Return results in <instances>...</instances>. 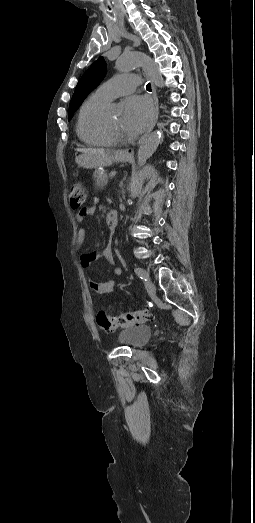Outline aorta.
Segmentation results:
<instances>
[{"label":"aorta","mask_w":255,"mask_h":523,"mask_svg":"<svg viewBox=\"0 0 255 523\" xmlns=\"http://www.w3.org/2000/svg\"><path fill=\"white\" fill-rule=\"evenodd\" d=\"M142 67L152 82L163 87L164 81L158 65L146 54L141 52H130L122 55L116 61V69L119 72H128L132 69ZM161 140V132L154 131L144 138L137 155V163L142 166L156 151Z\"/></svg>","instance_id":"1"}]
</instances>
